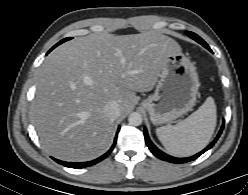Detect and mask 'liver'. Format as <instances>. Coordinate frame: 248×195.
I'll return each instance as SVG.
<instances>
[{
  "label": "liver",
  "instance_id": "6515ba94",
  "mask_svg": "<svg viewBox=\"0 0 248 195\" xmlns=\"http://www.w3.org/2000/svg\"><path fill=\"white\" fill-rule=\"evenodd\" d=\"M178 43L159 32L94 33L63 43L37 74L31 116L44 150L65 161L82 162L111 146L114 120L103 109L116 101L121 115L134 106L136 92L151 91Z\"/></svg>",
  "mask_w": 248,
  "mask_h": 195
}]
</instances>
